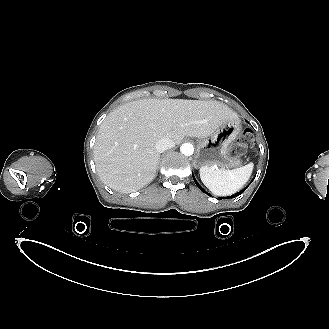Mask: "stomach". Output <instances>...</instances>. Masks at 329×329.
I'll return each instance as SVG.
<instances>
[{
  "instance_id": "stomach-1",
  "label": "stomach",
  "mask_w": 329,
  "mask_h": 329,
  "mask_svg": "<svg viewBox=\"0 0 329 329\" xmlns=\"http://www.w3.org/2000/svg\"><path fill=\"white\" fill-rule=\"evenodd\" d=\"M241 131L239 118L231 119L221 125L211 136L200 142L195 159L196 167L231 169L242 163L239 155H231L230 147L238 139Z\"/></svg>"
}]
</instances>
